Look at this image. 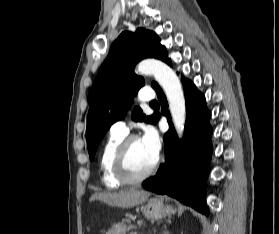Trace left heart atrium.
I'll use <instances>...</instances> for the list:
<instances>
[{"label":"left heart atrium","instance_id":"39dd6f15","mask_svg":"<svg viewBox=\"0 0 279 234\" xmlns=\"http://www.w3.org/2000/svg\"><path fill=\"white\" fill-rule=\"evenodd\" d=\"M145 146L158 157L160 151V139L158 133L152 126H146L142 137L140 138Z\"/></svg>","mask_w":279,"mask_h":234}]
</instances>
